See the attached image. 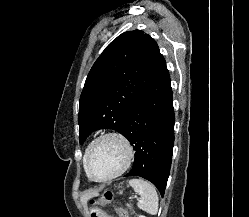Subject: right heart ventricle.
<instances>
[{
  "label": "right heart ventricle",
  "mask_w": 249,
  "mask_h": 217,
  "mask_svg": "<svg viewBox=\"0 0 249 217\" xmlns=\"http://www.w3.org/2000/svg\"><path fill=\"white\" fill-rule=\"evenodd\" d=\"M86 151H87V149H86ZM86 151H85V153H86ZM84 157H85V154H84ZM83 162H84V158H83Z\"/></svg>",
  "instance_id": "obj_1"
}]
</instances>
